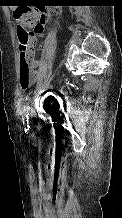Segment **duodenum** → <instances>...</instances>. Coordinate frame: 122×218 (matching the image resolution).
I'll use <instances>...</instances> for the list:
<instances>
[{"instance_id": "duodenum-1", "label": "duodenum", "mask_w": 122, "mask_h": 218, "mask_svg": "<svg viewBox=\"0 0 122 218\" xmlns=\"http://www.w3.org/2000/svg\"><path fill=\"white\" fill-rule=\"evenodd\" d=\"M38 66H40V62L38 61Z\"/></svg>"}]
</instances>
